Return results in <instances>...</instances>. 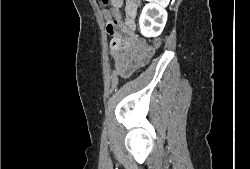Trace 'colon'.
<instances>
[{"label":"colon","instance_id":"1","mask_svg":"<svg viewBox=\"0 0 250 169\" xmlns=\"http://www.w3.org/2000/svg\"><path fill=\"white\" fill-rule=\"evenodd\" d=\"M103 3L105 5H108L109 1L104 0ZM130 4H134L133 5L134 7H139V6H141V0H130ZM112 6L120 7L121 2L119 0H113ZM107 30L111 33H112V31H114L115 33L120 34V33L124 32V27L122 26V24L120 23L119 20H114L113 22L108 23ZM160 46H161L160 37H158V36L154 37L153 45H152L153 50L155 51V50L159 49ZM147 55H150V54H147Z\"/></svg>","mask_w":250,"mask_h":169}]
</instances>
